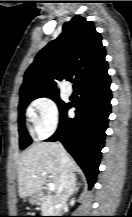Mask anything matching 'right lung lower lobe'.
<instances>
[{
    "label": "right lung lower lobe",
    "mask_w": 132,
    "mask_h": 217,
    "mask_svg": "<svg viewBox=\"0 0 132 217\" xmlns=\"http://www.w3.org/2000/svg\"><path fill=\"white\" fill-rule=\"evenodd\" d=\"M110 77L78 88L79 102L74 105L76 117H67V104L60 112V122L56 133L47 141L60 140L67 151L86 174L89 188L95 183L104 147L105 130L111 112Z\"/></svg>",
    "instance_id": "obj_1"
}]
</instances>
